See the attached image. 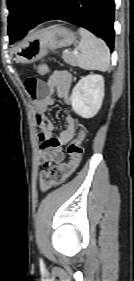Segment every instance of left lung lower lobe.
<instances>
[{
    "instance_id": "0a47b994",
    "label": "left lung lower lobe",
    "mask_w": 134,
    "mask_h": 281,
    "mask_svg": "<svg viewBox=\"0 0 134 281\" xmlns=\"http://www.w3.org/2000/svg\"><path fill=\"white\" fill-rule=\"evenodd\" d=\"M114 7V0H48L32 26L65 20L98 34L113 51Z\"/></svg>"
}]
</instances>
